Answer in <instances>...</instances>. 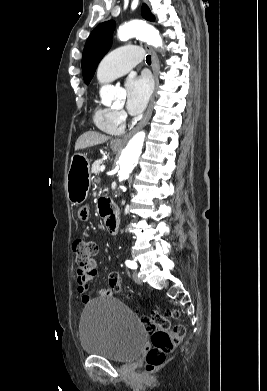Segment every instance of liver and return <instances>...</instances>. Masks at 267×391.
<instances>
[{
  "label": "liver",
  "mask_w": 267,
  "mask_h": 391,
  "mask_svg": "<svg viewBox=\"0 0 267 391\" xmlns=\"http://www.w3.org/2000/svg\"><path fill=\"white\" fill-rule=\"evenodd\" d=\"M109 140V136L104 134L88 131L83 133L76 141L75 150L85 149L93 147L99 144H103Z\"/></svg>",
  "instance_id": "1"
}]
</instances>
